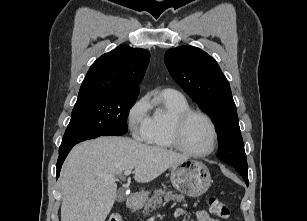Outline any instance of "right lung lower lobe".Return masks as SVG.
<instances>
[{
  "label": "right lung lower lobe",
  "instance_id": "98d812e1",
  "mask_svg": "<svg viewBox=\"0 0 307 221\" xmlns=\"http://www.w3.org/2000/svg\"><path fill=\"white\" fill-rule=\"evenodd\" d=\"M71 149H72V147L69 148V149H66L64 151L59 152V157H58V161H57V164H56L57 177H59V172H60L61 166H62L66 156L68 155V153L70 152Z\"/></svg>",
  "mask_w": 307,
  "mask_h": 221
}]
</instances>
